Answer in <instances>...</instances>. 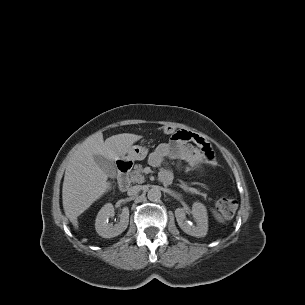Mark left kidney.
<instances>
[{"mask_svg": "<svg viewBox=\"0 0 305 305\" xmlns=\"http://www.w3.org/2000/svg\"><path fill=\"white\" fill-rule=\"evenodd\" d=\"M187 213L192 214L196 225L190 224L186 220ZM175 217L179 227L186 234L198 238L206 236L208 231V215L206 206L201 202H194L191 211L185 208H177L175 210Z\"/></svg>", "mask_w": 305, "mask_h": 305, "instance_id": "1", "label": "left kidney"}]
</instances>
